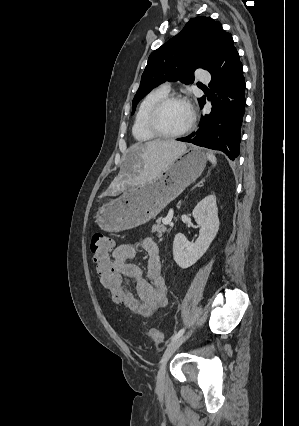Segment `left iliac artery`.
<instances>
[{
	"mask_svg": "<svg viewBox=\"0 0 299 426\" xmlns=\"http://www.w3.org/2000/svg\"><path fill=\"white\" fill-rule=\"evenodd\" d=\"M184 332H185V328H182L181 330H179L177 333H175V334L171 337L170 342H173V341L177 340L180 336H182V335H183V333H184Z\"/></svg>",
	"mask_w": 299,
	"mask_h": 426,
	"instance_id": "44dca946",
	"label": "left iliac artery"
}]
</instances>
